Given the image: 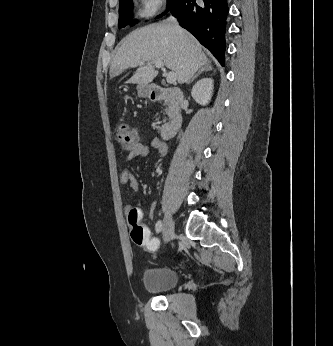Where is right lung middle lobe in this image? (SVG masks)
<instances>
[{
	"instance_id": "dd1d6c3e",
	"label": "right lung middle lobe",
	"mask_w": 333,
	"mask_h": 346,
	"mask_svg": "<svg viewBox=\"0 0 333 346\" xmlns=\"http://www.w3.org/2000/svg\"><path fill=\"white\" fill-rule=\"evenodd\" d=\"M175 0H167V10H169ZM120 8H119V21L118 27L123 28L126 25L130 24L133 26L135 21H132V1L131 0H119ZM160 15L159 17H161Z\"/></svg>"
}]
</instances>
